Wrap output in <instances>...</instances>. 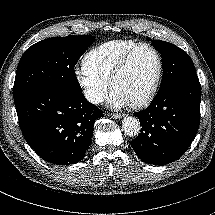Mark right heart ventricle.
I'll return each instance as SVG.
<instances>
[{
    "instance_id": "obj_1",
    "label": "right heart ventricle",
    "mask_w": 215,
    "mask_h": 215,
    "mask_svg": "<svg viewBox=\"0 0 215 215\" xmlns=\"http://www.w3.org/2000/svg\"><path fill=\"white\" fill-rule=\"evenodd\" d=\"M137 43L131 39H117L94 47L82 60L84 71L108 83L120 58Z\"/></svg>"
}]
</instances>
